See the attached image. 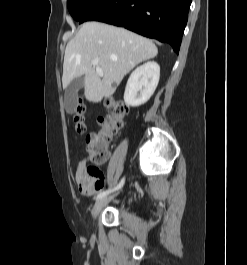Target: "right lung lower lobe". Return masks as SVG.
Returning <instances> with one entry per match:
<instances>
[{"label":"right lung lower lobe","mask_w":247,"mask_h":265,"mask_svg":"<svg viewBox=\"0 0 247 265\" xmlns=\"http://www.w3.org/2000/svg\"><path fill=\"white\" fill-rule=\"evenodd\" d=\"M192 0H99L79 20H95L161 42L178 54Z\"/></svg>","instance_id":"right-lung-lower-lobe-1"}]
</instances>
